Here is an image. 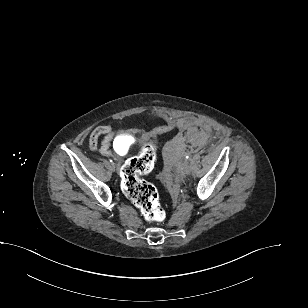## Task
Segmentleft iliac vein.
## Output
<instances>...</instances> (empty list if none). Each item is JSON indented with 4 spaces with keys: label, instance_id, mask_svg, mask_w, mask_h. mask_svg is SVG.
I'll use <instances>...</instances> for the list:
<instances>
[{
    "label": "left iliac vein",
    "instance_id": "left-iliac-vein-1",
    "mask_svg": "<svg viewBox=\"0 0 308 308\" xmlns=\"http://www.w3.org/2000/svg\"><path fill=\"white\" fill-rule=\"evenodd\" d=\"M189 172H190V166L188 165L187 162H184L179 169V174L182 176L189 174Z\"/></svg>",
    "mask_w": 308,
    "mask_h": 308
}]
</instances>
